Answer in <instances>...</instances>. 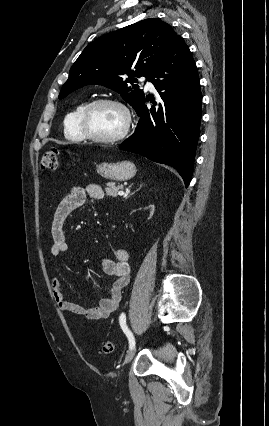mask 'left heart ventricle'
I'll list each match as a JSON object with an SVG mask.
<instances>
[{
  "mask_svg": "<svg viewBox=\"0 0 269 426\" xmlns=\"http://www.w3.org/2000/svg\"><path fill=\"white\" fill-rule=\"evenodd\" d=\"M124 125L122 112L111 105H98L94 107L88 117V126L92 133L109 137L116 135Z\"/></svg>",
  "mask_w": 269,
  "mask_h": 426,
  "instance_id": "obj_1",
  "label": "left heart ventricle"
}]
</instances>
